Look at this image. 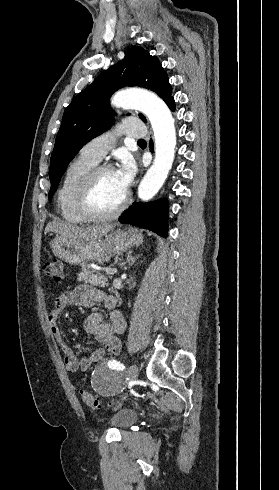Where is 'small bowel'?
<instances>
[{"mask_svg":"<svg viewBox=\"0 0 279 490\" xmlns=\"http://www.w3.org/2000/svg\"><path fill=\"white\" fill-rule=\"evenodd\" d=\"M96 304H102L109 311L107 320H103L102 313L92 312L82 318V326L86 333L97 339L100 347L89 356L78 360L73 350L65 344L59 316L67 306L88 308ZM47 323L52 336L63 350L66 368L71 372L87 370L106 355H118L121 350L119 335L126 328L123 315L116 309L115 298L88 285L78 286L57 296L47 315Z\"/></svg>","mask_w":279,"mask_h":490,"instance_id":"obj_1","label":"small bowel"}]
</instances>
